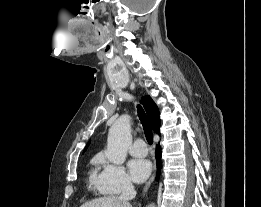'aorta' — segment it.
Instances as JSON below:
<instances>
[{
  "mask_svg": "<svg viewBox=\"0 0 261 207\" xmlns=\"http://www.w3.org/2000/svg\"><path fill=\"white\" fill-rule=\"evenodd\" d=\"M132 143L131 122L127 115L121 116L109 129L106 157L115 165L125 162L127 150ZM148 207H155L150 204Z\"/></svg>",
  "mask_w": 261,
  "mask_h": 207,
  "instance_id": "aorta-1",
  "label": "aorta"
}]
</instances>
